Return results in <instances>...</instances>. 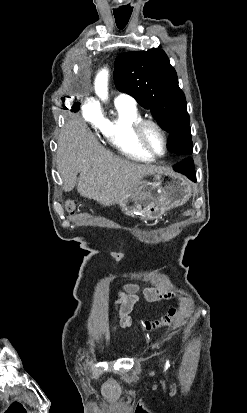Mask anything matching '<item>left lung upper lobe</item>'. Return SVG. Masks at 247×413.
<instances>
[{"instance_id":"5c2ea615","label":"left lung upper lobe","mask_w":247,"mask_h":413,"mask_svg":"<svg viewBox=\"0 0 247 413\" xmlns=\"http://www.w3.org/2000/svg\"><path fill=\"white\" fill-rule=\"evenodd\" d=\"M114 81L119 91L133 96L142 107L149 109L158 124L170 133V152L183 157L192 154L185 95L163 50L119 55L115 60Z\"/></svg>"}]
</instances>
